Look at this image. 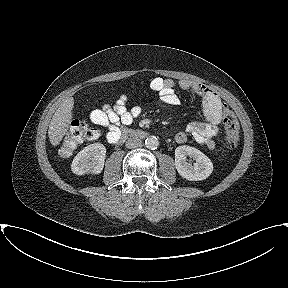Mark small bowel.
I'll list each match as a JSON object with an SVG mask.
<instances>
[{
  "label": "small bowel",
  "instance_id": "c3829d8e",
  "mask_svg": "<svg viewBox=\"0 0 288 288\" xmlns=\"http://www.w3.org/2000/svg\"><path fill=\"white\" fill-rule=\"evenodd\" d=\"M176 86L190 92L202 100V107L206 121H191L185 131L175 135V141L183 144L191 135L198 143L207 149L213 150L215 142L213 138L218 133V126L222 121L223 103L219 96L209 87L182 79L177 83L172 79L156 77L150 82V88L157 92L160 99L171 106L180 104V98L176 93ZM128 98L121 95L113 105H104L102 108L95 109L90 113V120L107 130L106 138L110 143L119 140L120 135L142 113L140 105L127 108Z\"/></svg>",
  "mask_w": 288,
  "mask_h": 288
}]
</instances>
